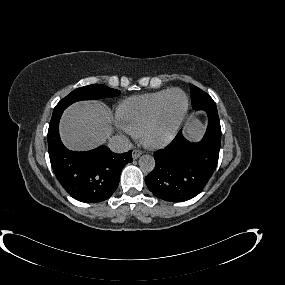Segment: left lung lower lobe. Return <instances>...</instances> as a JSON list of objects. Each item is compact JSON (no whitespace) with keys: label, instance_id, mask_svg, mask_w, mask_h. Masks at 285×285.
Masks as SVG:
<instances>
[{"label":"left lung lower lobe","instance_id":"0a47b994","mask_svg":"<svg viewBox=\"0 0 285 285\" xmlns=\"http://www.w3.org/2000/svg\"><path fill=\"white\" fill-rule=\"evenodd\" d=\"M207 113V132L199 143H190L181 132L162 150L154 153L156 166L145 177L158 198L183 202L198 195L212 176L219 158L221 126L216 104L197 109Z\"/></svg>","mask_w":285,"mask_h":285}]
</instances>
